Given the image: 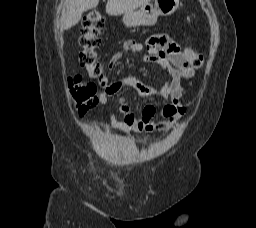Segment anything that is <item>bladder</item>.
I'll list each match as a JSON object with an SVG mask.
<instances>
[{
    "label": "bladder",
    "instance_id": "bladder-1",
    "mask_svg": "<svg viewBox=\"0 0 256 228\" xmlns=\"http://www.w3.org/2000/svg\"><path fill=\"white\" fill-rule=\"evenodd\" d=\"M106 147L111 152L118 151L126 147V141L122 138H110L106 142Z\"/></svg>",
    "mask_w": 256,
    "mask_h": 228
}]
</instances>
